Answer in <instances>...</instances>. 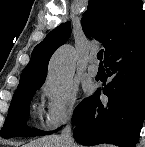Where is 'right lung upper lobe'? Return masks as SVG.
<instances>
[{"label":"right lung upper lobe","instance_id":"right-lung-upper-lobe-1","mask_svg":"<svg viewBox=\"0 0 145 147\" xmlns=\"http://www.w3.org/2000/svg\"><path fill=\"white\" fill-rule=\"evenodd\" d=\"M142 7L141 0H89L88 9L82 17V27L88 38L94 37L103 43L104 61L124 40L145 26ZM70 33V22L63 23L33 49L17 90L42 86L52 54L68 40Z\"/></svg>","mask_w":145,"mask_h":147}]
</instances>
